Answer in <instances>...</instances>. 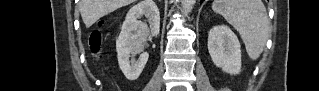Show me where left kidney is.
<instances>
[{"label":"left kidney","instance_id":"5707ae66","mask_svg":"<svg viewBox=\"0 0 319 91\" xmlns=\"http://www.w3.org/2000/svg\"><path fill=\"white\" fill-rule=\"evenodd\" d=\"M241 46L226 25L214 26L208 34V51L214 64L229 74L241 71Z\"/></svg>","mask_w":319,"mask_h":91}]
</instances>
